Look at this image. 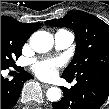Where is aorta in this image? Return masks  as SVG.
I'll list each match as a JSON object with an SVG mask.
<instances>
[{
  "label": "aorta",
  "instance_id": "1",
  "mask_svg": "<svg viewBox=\"0 0 109 109\" xmlns=\"http://www.w3.org/2000/svg\"><path fill=\"white\" fill-rule=\"evenodd\" d=\"M54 44L53 36L47 31H36L30 37L31 48L38 53H45L52 49ZM62 91L58 87H51L46 92V97L51 102H58L61 99Z\"/></svg>",
  "mask_w": 109,
  "mask_h": 109
}]
</instances>
